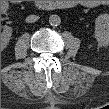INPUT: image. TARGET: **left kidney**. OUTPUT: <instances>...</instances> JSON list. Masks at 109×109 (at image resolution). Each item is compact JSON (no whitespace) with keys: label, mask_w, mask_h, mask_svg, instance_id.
I'll return each mask as SVG.
<instances>
[{"label":"left kidney","mask_w":109,"mask_h":109,"mask_svg":"<svg viewBox=\"0 0 109 109\" xmlns=\"http://www.w3.org/2000/svg\"><path fill=\"white\" fill-rule=\"evenodd\" d=\"M95 38L99 44L105 45L109 41V15H99L95 20Z\"/></svg>","instance_id":"left-kidney-1"}]
</instances>
